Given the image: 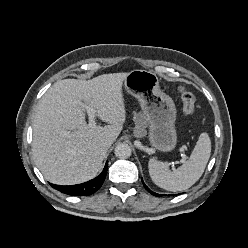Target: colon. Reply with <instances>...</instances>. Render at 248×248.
<instances>
[{"mask_svg":"<svg viewBox=\"0 0 248 248\" xmlns=\"http://www.w3.org/2000/svg\"><path fill=\"white\" fill-rule=\"evenodd\" d=\"M179 94L183 102V112L185 116H192L196 111V98L192 92L180 86Z\"/></svg>","mask_w":248,"mask_h":248,"instance_id":"obj_1","label":"colon"}]
</instances>
